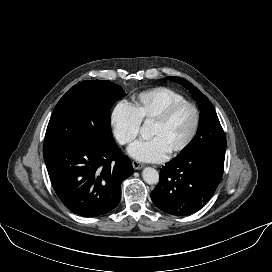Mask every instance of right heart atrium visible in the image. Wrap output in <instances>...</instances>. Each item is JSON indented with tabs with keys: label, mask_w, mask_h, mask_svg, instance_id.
I'll list each match as a JSON object with an SVG mask.
<instances>
[{
	"label": "right heart atrium",
	"mask_w": 272,
	"mask_h": 272,
	"mask_svg": "<svg viewBox=\"0 0 272 272\" xmlns=\"http://www.w3.org/2000/svg\"><path fill=\"white\" fill-rule=\"evenodd\" d=\"M110 124L115 138L123 146L134 141L141 127V122L132 106L124 102H119L113 108Z\"/></svg>",
	"instance_id": "1"
}]
</instances>
